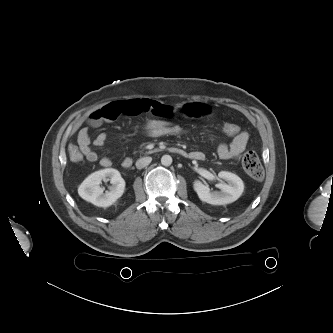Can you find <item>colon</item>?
I'll return each instance as SVG.
<instances>
[{"mask_svg":"<svg viewBox=\"0 0 333 333\" xmlns=\"http://www.w3.org/2000/svg\"><path fill=\"white\" fill-rule=\"evenodd\" d=\"M220 131L228 137H236L240 133V127L232 122L221 125ZM140 135L148 138L160 137H184L192 133L191 128L174 120H156L143 124L139 130ZM70 159L74 162L81 161L83 156L76 146L69 147ZM242 166L245 172L255 180H261L264 169L255 151H247L242 158Z\"/></svg>","mask_w":333,"mask_h":333,"instance_id":"5ec220e1","label":"colon"}]
</instances>
